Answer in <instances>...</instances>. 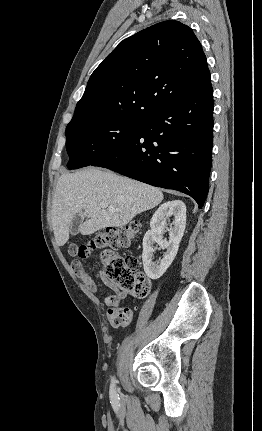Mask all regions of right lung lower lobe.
I'll use <instances>...</instances> for the list:
<instances>
[{
    "label": "right lung lower lobe",
    "instance_id": "right-lung-lower-lobe-1",
    "mask_svg": "<svg viewBox=\"0 0 262 431\" xmlns=\"http://www.w3.org/2000/svg\"><path fill=\"white\" fill-rule=\"evenodd\" d=\"M213 89L143 118L135 134L91 164L191 196L202 208L209 188Z\"/></svg>",
    "mask_w": 262,
    "mask_h": 431
}]
</instances>
